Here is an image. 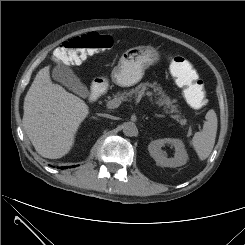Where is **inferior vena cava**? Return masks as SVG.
I'll use <instances>...</instances> for the list:
<instances>
[{
  "mask_svg": "<svg viewBox=\"0 0 245 245\" xmlns=\"http://www.w3.org/2000/svg\"><path fill=\"white\" fill-rule=\"evenodd\" d=\"M99 116L110 118V119H115L114 116L108 115V114H98Z\"/></svg>",
  "mask_w": 245,
  "mask_h": 245,
  "instance_id": "602c4592",
  "label": "inferior vena cava"
}]
</instances>
